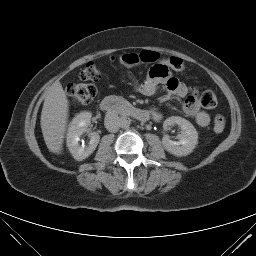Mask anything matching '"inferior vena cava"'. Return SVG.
<instances>
[{"mask_svg": "<svg viewBox=\"0 0 256 256\" xmlns=\"http://www.w3.org/2000/svg\"><path fill=\"white\" fill-rule=\"evenodd\" d=\"M120 117L115 113H109L105 116L104 125L109 132H117L120 127Z\"/></svg>", "mask_w": 256, "mask_h": 256, "instance_id": "inferior-vena-cava-1", "label": "inferior vena cava"}]
</instances>
